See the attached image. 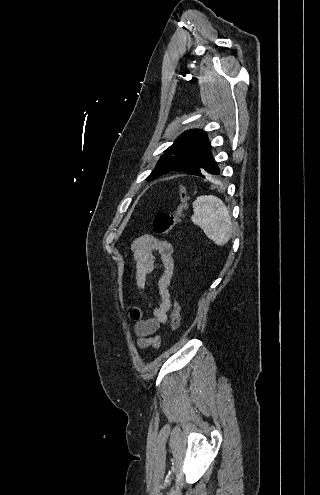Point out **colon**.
<instances>
[{
  "instance_id": "5ec220e1",
  "label": "colon",
  "mask_w": 320,
  "mask_h": 495,
  "mask_svg": "<svg viewBox=\"0 0 320 495\" xmlns=\"http://www.w3.org/2000/svg\"><path fill=\"white\" fill-rule=\"evenodd\" d=\"M188 192L185 186H179V204L174 212H159L155 215L153 229L158 234H169L173 228L181 221L188 204ZM181 315L180 305L177 299L174 301L171 313V329L175 333L180 327Z\"/></svg>"
}]
</instances>
